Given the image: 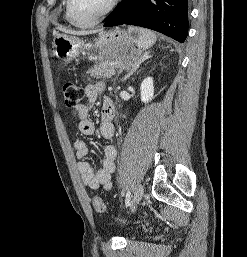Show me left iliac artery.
Masks as SVG:
<instances>
[{
    "label": "left iliac artery",
    "mask_w": 247,
    "mask_h": 257,
    "mask_svg": "<svg viewBox=\"0 0 247 257\" xmlns=\"http://www.w3.org/2000/svg\"><path fill=\"white\" fill-rule=\"evenodd\" d=\"M130 199H131V193L128 191L127 194H126V198H125V205L126 206H129Z\"/></svg>",
    "instance_id": "left-iliac-artery-1"
}]
</instances>
